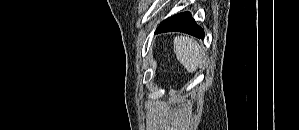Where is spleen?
Here are the masks:
<instances>
[{
    "label": "spleen",
    "mask_w": 299,
    "mask_h": 130,
    "mask_svg": "<svg viewBox=\"0 0 299 130\" xmlns=\"http://www.w3.org/2000/svg\"><path fill=\"white\" fill-rule=\"evenodd\" d=\"M174 52L178 61L190 73L197 70L203 59L201 46L188 36H176L174 38Z\"/></svg>",
    "instance_id": "1"
}]
</instances>
